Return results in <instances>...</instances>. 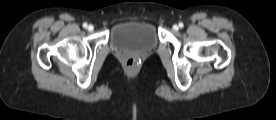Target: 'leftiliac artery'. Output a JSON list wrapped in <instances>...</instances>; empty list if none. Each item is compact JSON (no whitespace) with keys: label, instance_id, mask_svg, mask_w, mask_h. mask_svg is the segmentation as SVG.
I'll return each instance as SVG.
<instances>
[{"label":"left iliac artery","instance_id":"1","mask_svg":"<svg viewBox=\"0 0 276 120\" xmlns=\"http://www.w3.org/2000/svg\"><path fill=\"white\" fill-rule=\"evenodd\" d=\"M184 24L182 22L179 23V27L183 28Z\"/></svg>","mask_w":276,"mask_h":120}]
</instances>
